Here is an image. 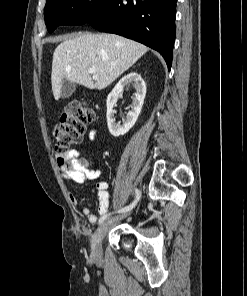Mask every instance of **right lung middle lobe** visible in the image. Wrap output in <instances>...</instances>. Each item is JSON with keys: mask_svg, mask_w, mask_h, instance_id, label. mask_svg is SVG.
I'll return each mask as SVG.
<instances>
[{"mask_svg": "<svg viewBox=\"0 0 247 296\" xmlns=\"http://www.w3.org/2000/svg\"><path fill=\"white\" fill-rule=\"evenodd\" d=\"M108 0H47L44 9L48 32L59 25H81L102 13Z\"/></svg>", "mask_w": 247, "mask_h": 296, "instance_id": "obj_1", "label": "right lung middle lobe"}]
</instances>
